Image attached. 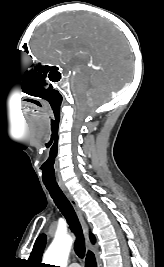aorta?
<instances>
[{"label":"aorta","instance_id":"aorta-1","mask_svg":"<svg viewBox=\"0 0 164 267\" xmlns=\"http://www.w3.org/2000/svg\"><path fill=\"white\" fill-rule=\"evenodd\" d=\"M72 244L71 236H56L44 254V263L66 267Z\"/></svg>","mask_w":164,"mask_h":267}]
</instances>
